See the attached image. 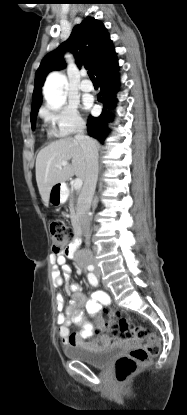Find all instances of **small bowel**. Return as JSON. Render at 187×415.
<instances>
[{
  "label": "small bowel",
  "mask_w": 187,
  "mask_h": 415,
  "mask_svg": "<svg viewBox=\"0 0 187 415\" xmlns=\"http://www.w3.org/2000/svg\"><path fill=\"white\" fill-rule=\"evenodd\" d=\"M68 254L61 253L52 257L53 263L60 267V270L54 268L53 278L56 286L64 284L65 279L69 276L71 268L67 264ZM94 286V285H93ZM67 291L70 293V300L65 308V300L63 295L58 294L57 309L60 314L57 317L59 324V336L62 343L66 346H79L86 348L90 351H102L108 348L115 342L114 339L108 335H100L96 339L89 340L93 336V324L86 320L82 308L85 309L87 314L91 317L97 315L98 309L102 305L109 303L107 294L103 291H95L91 297L87 299L82 292L81 286L76 282H71L67 285ZM65 309V312H62ZM72 324L80 326V330L77 332H71L70 327Z\"/></svg>",
  "instance_id": "c3829d8e"
}]
</instances>
